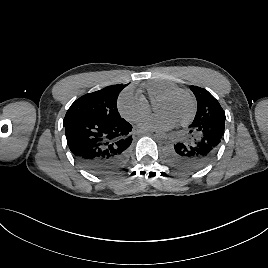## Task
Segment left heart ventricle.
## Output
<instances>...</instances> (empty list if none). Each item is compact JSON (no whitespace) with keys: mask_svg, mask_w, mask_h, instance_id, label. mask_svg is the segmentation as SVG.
<instances>
[{"mask_svg":"<svg viewBox=\"0 0 268 268\" xmlns=\"http://www.w3.org/2000/svg\"><path fill=\"white\" fill-rule=\"evenodd\" d=\"M190 109L191 104L188 98L184 95H178L171 100L157 104L154 111L156 114L165 115L178 123L189 114Z\"/></svg>","mask_w":268,"mask_h":268,"instance_id":"left-heart-ventricle-1","label":"left heart ventricle"}]
</instances>
